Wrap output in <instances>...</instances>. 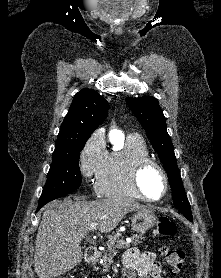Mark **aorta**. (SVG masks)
Wrapping results in <instances>:
<instances>
[{"mask_svg": "<svg viewBox=\"0 0 221 278\" xmlns=\"http://www.w3.org/2000/svg\"><path fill=\"white\" fill-rule=\"evenodd\" d=\"M109 136L112 143L123 141V135L119 130H112Z\"/></svg>", "mask_w": 221, "mask_h": 278, "instance_id": "obj_1", "label": "aorta"}]
</instances>
